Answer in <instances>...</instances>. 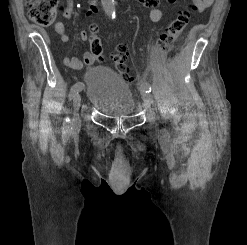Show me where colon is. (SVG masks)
Returning a JSON list of instances; mask_svg holds the SVG:
<instances>
[{"instance_id": "5ec220e1", "label": "colon", "mask_w": 247, "mask_h": 245, "mask_svg": "<svg viewBox=\"0 0 247 245\" xmlns=\"http://www.w3.org/2000/svg\"><path fill=\"white\" fill-rule=\"evenodd\" d=\"M26 5L28 6V14L32 21L42 26H50L56 18L59 0H26ZM192 8H195V6ZM190 14L191 9L182 11L159 36L158 44L163 52L167 53L171 50L178 36L186 28ZM89 44L91 52L100 60H103V48L100 39L97 37V27L95 25L90 26ZM126 55H128L127 47L123 44H118L113 50L111 59L117 72L124 78L132 81L133 76L131 68L126 62Z\"/></svg>"}]
</instances>
